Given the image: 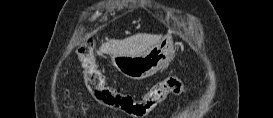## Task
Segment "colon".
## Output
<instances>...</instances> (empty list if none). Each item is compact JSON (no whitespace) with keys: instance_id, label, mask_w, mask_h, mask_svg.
Instances as JSON below:
<instances>
[{"instance_id":"colon-1","label":"colon","mask_w":273,"mask_h":118,"mask_svg":"<svg viewBox=\"0 0 273 118\" xmlns=\"http://www.w3.org/2000/svg\"><path fill=\"white\" fill-rule=\"evenodd\" d=\"M78 55L84 69L86 86L92 96L100 103L121 110L132 117H144L153 110L169 94L180 95L187 91L178 77H169L153 85L140 99L131 95L118 93L106 86L105 79L96 67L94 47L91 43H83L78 48Z\"/></svg>"}]
</instances>
